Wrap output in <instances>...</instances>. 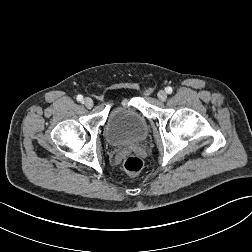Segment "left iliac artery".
I'll return each instance as SVG.
<instances>
[{
    "label": "left iliac artery",
    "mask_w": 252,
    "mask_h": 252,
    "mask_svg": "<svg viewBox=\"0 0 252 252\" xmlns=\"http://www.w3.org/2000/svg\"><path fill=\"white\" fill-rule=\"evenodd\" d=\"M165 90H166V92H167L168 94H171L172 91H173V89H172L171 87H167Z\"/></svg>",
    "instance_id": "left-iliac-artery-1"
}]
</instances>
